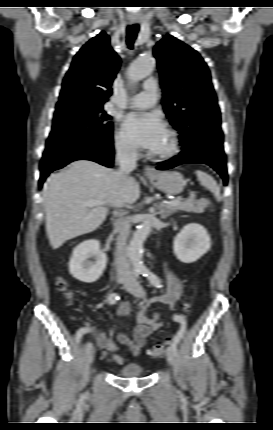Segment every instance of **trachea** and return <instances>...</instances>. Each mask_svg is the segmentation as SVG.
I'll use <instances>...</instances> for the list:
<instances>
[{
	"instance_id": "trachea-1",
	"label": "trachea",
	"mask_w": 273,
	"mask_h": 430,
	"mask_svg": "<svg viewBox=\"0 0 273 430\" xmlns=\"http://www.w3.org/2000/svg\"><path fill=\"white\" fill-rule=\"evenodd\" d=\"M139 26L137 24L130 25L127 29V44L130 49L133 48L134 41L137 37Z\"/></svg>"
}]
</instances>
